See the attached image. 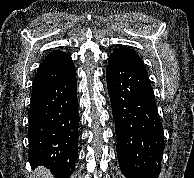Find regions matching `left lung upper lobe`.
I'll list each match as a JSON object with an SVG mask.
<instances>
[{"mask_svg": "<svg viewBox=\"0 0 194 178\" xmlns=\"http://www.w3.org/2000/svg\"><path fill=\"white\" fill-rule=\"evenodd\" d=\"M110 56L118 58L127 64L147 72L142 59L129 47L120 46L119 48H116Z\"/></svg>", "mask_w": 194, "mask_h": 178, "instance_id": "left-lung-upper-lobe-1", "label": "left lung upper lobe"}]
</instances>
